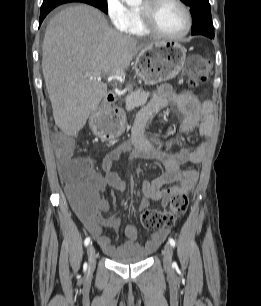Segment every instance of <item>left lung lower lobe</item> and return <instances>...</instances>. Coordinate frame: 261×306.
Segmentation results:
<instances>
[{"instance_id":"0a47b994","label":"left lung lower lobe","mask_w":261,"mask_h":306,"mask_svg":"<svg viewBox=\"0 0 261 306\" xmlns=\"http://www.w3.org/2000/svg\"><path fill=\"white\" fill-rule=\"evenodd\" d=\"M207 37H209V38H214V34H212V35H208Z\"/></svg>"}]
</instances>
